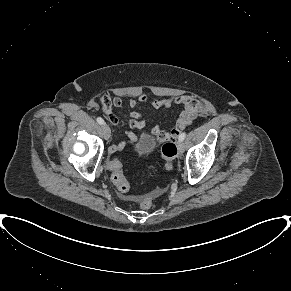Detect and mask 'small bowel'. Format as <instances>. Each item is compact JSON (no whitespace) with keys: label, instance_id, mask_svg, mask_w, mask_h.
Listing matches in <instances>:
<instances>
[{"label":"small bowel","instance_id":"1","mask_svg":"<svg viewBox=\"0 0 291 291\" xmlns=\"http://www.w3.org/2000/svg\"><path fill=\"white\" fill-rule=\"evenodd\" d=\"M101 109L106 115L108 120L117 125L119 123L118 117L113 111V107H122V99L120 97L110 98L104 95L100 98ZM138 103L149 104L155 109L168 110L172 108L174 104L183 106V112L176 122L175 127L171 131H165L156 125L152 130L151 134L155 135L160 141H174L179 136L180 132L189 126L194 119L203 111L202 103L194 96L184 95L177 97L175 99L171 98H155L150 97L145 93H140L136 98H132L128 102L130 108L129 119L124 123L127 124L130 130L126 131L125 137L135 142L138 136L133 132V130H141L145 127L146 121L143 119L142 115L135 111V107ZM125 147V141H120L112 144L108 151L110 154L121 151ZM128 199H133V196H127Z\"/></svg>","mask_w":291,"mask_h":291}]
</instances>
